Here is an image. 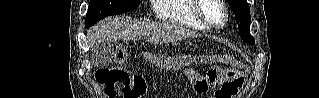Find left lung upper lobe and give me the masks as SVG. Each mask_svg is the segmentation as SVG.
I'll list each match as a JSON object with an SVG mask.
<instances>
[{"mask_svg":"<svg viewBox=\"0 0 319 98\" xmlns=\"http://www.w3.org/2000/svg\"><path fill=\"white\" fill-rule=\"evenodd\" d=\"M232 11L235 13V18L238 23L242 39L249 43L254 44V38L250 34V9L246 0H227Z\"/></svg>","mask_w":319,"mask_h":98,"instance_id":"1","label":"left lung upper lobe"}]
</instances>
